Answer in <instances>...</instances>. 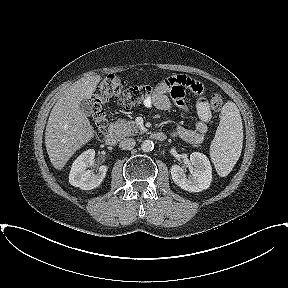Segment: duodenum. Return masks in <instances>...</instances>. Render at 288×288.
<instances>
[{"label":"duodenum","instance_id":"duodenum-1","mask_svg":"<svg viewBox=\"0 0 288 288\" xmlns=\"http://www.w3.org/2000/svg\"><path fill=\"white\" fill-rule=\"evenodd\" d=\"M118 133L116 128L111 125L106 134L105 142L108 146H114L118 142ZM152 138L157 141H164L166 139V135L163 132L157 131L152 134Z\"/></svg>","mask_w":288,"mask_h":288}]
</instances>
